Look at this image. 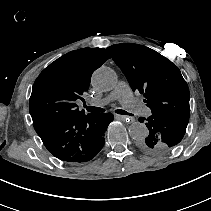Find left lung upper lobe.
Here are the masks:
<instances>
[{"instance_id":"1","label":"left lung upper lobe","mask_w":211,"mask_h":211,"mask_svg":"<svg viewBox=\"0 0 211 211\" xmlns=\"http://www.w3.org/2000/svg\"><path fill=\"white\" fill-rule=\"evenodd\" d=\"M107 50L132 90L143 94V101L151 109L148 118H139L149 130L142 148L155 154L176 148L185 135L190 117L189 88L179 68L142 45L115 44Z\"/></svg>"}]
</instances>
